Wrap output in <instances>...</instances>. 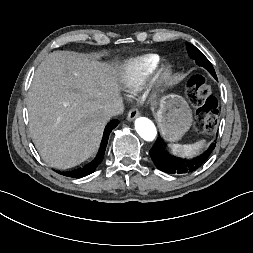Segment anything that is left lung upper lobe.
I'll return each mask as SVG.
<instances>
[{
	"label": "left lung upper lobe",
	"instance_id": "1",
	"mask_svg": "<svg viewBox=\"0 0 253 253\" xmlns=\"http://www.w3.org/2000/svg\"><path fill=\"white\" fill-rule=\"evenodd\" d=\"M186 47H187V51H188V54L189 56L192 58V59H195V60H201V61H205V60H208L204 55L203 53L198 50L195 46H193L192 44L186 42Z\"/></svg>",
	"mask_w": 253,
	"mask_h": 253
}]
</instances>
